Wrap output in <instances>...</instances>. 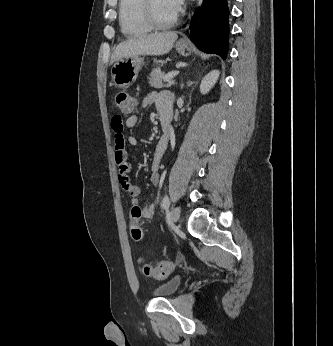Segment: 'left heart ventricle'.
Segmentation results:
<instances>
[{"instance_id": "b2bd125f", "label": "left heart ventricle", "mask_w": 333, "mask_h": 346, "mask_svg": "<svg viewBox=\"0 0 333 346\" xmlns=\"http://www.w3.org/2000/svg\"><path fill=\"white\" fill-rule=\"evenodd\" d=\"M155 15L160 20H168L174 12L168 7L165 0H153Z\"/></svg>"}]
</instances>
